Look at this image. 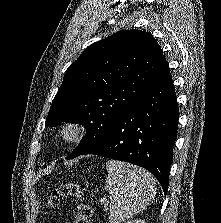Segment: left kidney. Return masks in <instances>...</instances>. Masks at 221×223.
Wrapping results in <instances>:
<instances>
[{
  "label": "left kidney",
  "mask_w": 221,
  "mask_h": 223,
  "mask_svg": "<svg viewBox=\"0 0 221 223\" xmlns=\"http://www.w3.org/2000/svg\"><path fill=\"white\" fill-rule=\"evenodd\" d=\"M127 223H145L143 220L128 221Z\"/></svg>",
  "instance_id": "5707ae66"
}]
</instances>
